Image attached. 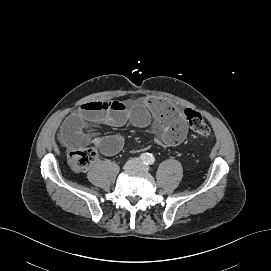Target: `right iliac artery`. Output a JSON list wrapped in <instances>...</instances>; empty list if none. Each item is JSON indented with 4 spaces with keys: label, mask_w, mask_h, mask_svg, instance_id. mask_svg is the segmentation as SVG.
<instances>
[{
    "label": "right iliac artery",
    "mask_w": 271,
    "mask_h": 271,
    "mask_svg": "<svg viewBox=\"0 0 271 271\" xmlns=\"http://www.w3.org/2000/svg\"><path fill=\"white\" fill-rule=\"evenodd\" d=\"M148 158H149V154L148 153H143V154L140 155V159L144 163H147Z\"/></svg>",
    "instance_id": "right-iliac-artery-1"
}]
</instances>
